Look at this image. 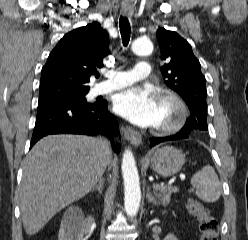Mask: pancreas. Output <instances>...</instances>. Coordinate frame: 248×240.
<instances>
[{"label": "pancreas", "instance_id": "pancreas-1", "mask_svg": "<svg viewBox=\"0 0 248 240\" xmlns=\"http://www.w3.org/2000/svg\"><path fill=\"white\" fill-rule=\"evenodd\" d=\"M157 197L160 199L161 203L163 205H166L170 202V195L173 191L172 189L168 187H160L159 189H155Z\"/></svg>", "mask_w": 248, "mask_h": 240}]
</instances>
